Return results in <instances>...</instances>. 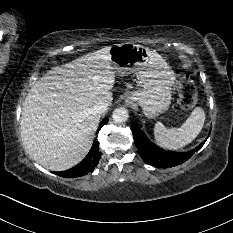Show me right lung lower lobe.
Wrapping results in <instances>:
<instances>
[{
    "instance_id": "1",
    "label": "right lung lower lobe",
    "mask_w": 233,
    "mask_h": 233,
    "mask_svg": "<svg viewBox=\"0 0 233 233\" xmlns=\"http://www.w3.org/2000/svg\"><path fill=\"white\" fill-rule=\"evenodd\" d=\"M107 122V118L103 119L100 123L99 128H101ZM100 157L101 153L99 151V143L94 141L88 155L79 164L69 170L63 172H55V174L65 178L81 177L82 175L94 170L99 162Z\"/></svg>"
}]
</instances>
